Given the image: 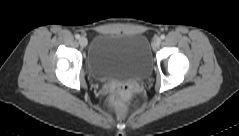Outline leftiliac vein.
Returning a JSON list of instances; mask_svg holds the SVG:
<instances>
[{"label":"left iliac vein","instance_id":"4c4485c4","mask_svg":"<svg viewBox=\"0 0 239 136\" xmlns=\"http://www.w3.org/2000/svg\"><path fill=\"white\" fill-rule=\"evenodd\" d=\"M160 43H161V39L157 37V38H155V40L153 42V46L155 48H157V47H159Z\"/></svg>","mask_w":239,"mask_h":136}]
</instances>
